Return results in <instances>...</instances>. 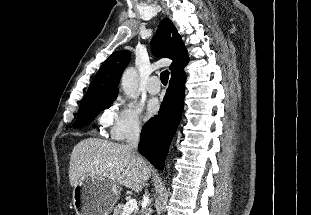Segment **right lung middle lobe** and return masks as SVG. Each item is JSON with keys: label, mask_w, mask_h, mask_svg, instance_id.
I'll list each match as a JSON object with an SVG mask.
<instances>
[{"label": "right lung middle lobe", "mask_w": 311, "mask_h": 215, "mask_svg": "<svg viewBox=\"0 0 311 215\" xmlns=\"http://www.w3.org/2000/svg\"><path fill=\"white\" fill-rule=\"evenodd\" d=\"M117 96H104L94 98L81 103L74 128H82L87 126L101 110L110 106Z\"/></svg>", "instance_id": "right-lung-middle-lobe-1"}]
</instances>
